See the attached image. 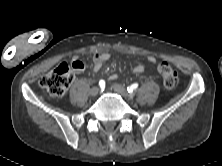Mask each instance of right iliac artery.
Masks as SVG:
<instances>
[{
	"label": "right iliac artery",
	"instance_id": "obj_1",
	"mask_svg": "<svg viewBox=\"0 0 222 166\" xmlns=\"http://www.w3.org/2000/svg\"><path fill=\"white\" fill-rule=\"evenodd\" d=\"M99 86H100L101 88H104V87H105V81H104V80H100V81H99Z\"/></svg>",
	"mask_w": 222,
	"mask_h": 166
}]
</instances>
